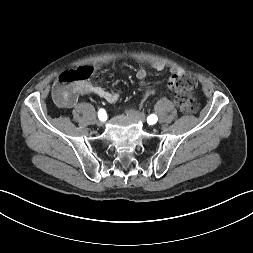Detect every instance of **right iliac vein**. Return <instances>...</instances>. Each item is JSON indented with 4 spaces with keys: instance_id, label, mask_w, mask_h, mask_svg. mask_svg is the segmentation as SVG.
<instances>
[{
    "instance_id": "right-iliac-vein-1",
    "label": "right iliac vein",
    "mask_w": 253,
    "mask_h": 253,
    "mask_svg": "<svg viewBox=\"0 0 253 253\" xmlns=\"http://www.w3.org/2000/svg\"><path fill=\"white\" fill-rule=\"evenodd\" d=\"M97 125L100 126V127L103 126V125H104V121L98 120V121H97Z\"/></svg>"
}]
</instances>
